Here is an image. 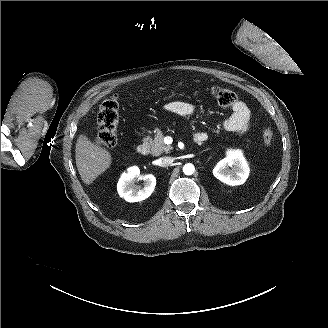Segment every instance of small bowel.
Wrapping results in <instances>:
<instances>
[{
  "mask_svg": "<svg viewBox=\"0 0 328 328\" xmlns=\"http://www.w3.org/2000/svg\"><path fill=\"white\" fill-rule=\"evenodd\" d=\"M164 110L180 116H191L195 112L194 105L173 101L164 105ZM232 114L223 122L224 129L239 136L244 135L250 127L252 114L249 107L242 101H237L232 107Z\"/></svg>",
  "mask_w": 328,
  "mask_h": 328,
  "instance_id": "1",
  "label": "small bowel"
}]
</instances>
